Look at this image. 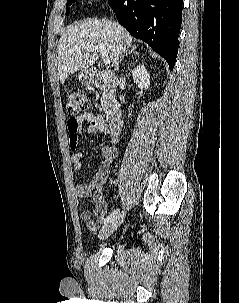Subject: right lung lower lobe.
<instances>
[{
  "instance_id": "obj_1",
  "label": "right lung lower lobe",
  "mask_w": 239,
  "mask_h": 303,
  "mask_svg": "<svg viewBox=\"0 0 239 303\" xmlns=\"http://www.w3.org/2000/svg\"><path fill=\"white\" fill-rule=\"evenodd\" d=\"M118 22L145 41L174 68L182 22V0H108Z\"/></svg>"
}]
</instances>
